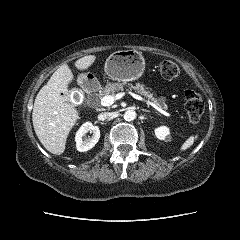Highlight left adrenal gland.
I'll return each instance as SVG.
<instances>
[{
	"label": "left adrenal gland",
	"mask_w": 240,
	"mask_h": 240,
	"mask_svg": "<svg viewBox=\"0 0 240 240\" xmlns=\"http://www.w3.org/2000/svg\"><path fill=\"white\" fill-rule=\"evenodd\" d=\"M142 111H144V112H148V113L150 112L149 110H146V109H142Z\"/></svg>",
	"instance_id": "obj_1"
}]
</instances>
